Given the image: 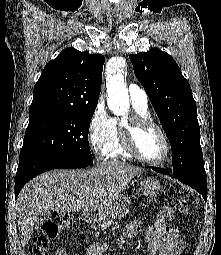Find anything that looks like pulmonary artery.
Returning <instances> with one entry per match:
<instances>
[{"label": "pulmonary artery", "instance_id": "1", "mask_svg": "<svg viewBox=\"0 0 221 255\" xmlns=\"http://www.w3.org/2000/svg\"><path fill=\"white\" fill-rule=\"evenodd\" d=\"M128 93L132 100L133 104L140 105V106H147L148 105V95L144 89H142L137 84H130L128 86Z\"/></svg>", "mask_w": 221, "mask_h": 255}]
</instances>
